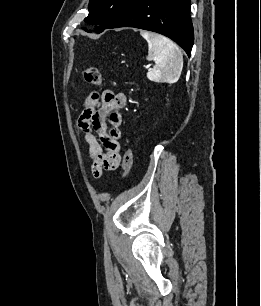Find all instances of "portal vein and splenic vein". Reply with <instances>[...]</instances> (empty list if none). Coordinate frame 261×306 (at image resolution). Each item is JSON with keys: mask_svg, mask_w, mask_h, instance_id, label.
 I'll return each mask as SVG.
<instances>
[{"mask_svg": "<svg viewBox=\"0 0 261 306\" xmlns=\"http://www.w3.org/2000/svg\"><path fill=\"white\" fill-rule=\"evenodd\" d=\"M146 67H147V68H150V67H151V64H148Z\"/></svg>", "mask_w": 261, "mask_h": 306, "instance_id": "portal-vein-and-splenic-vein-1", "label": "portal vein and splenic vein"}]
</instances>
